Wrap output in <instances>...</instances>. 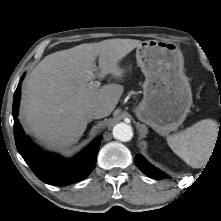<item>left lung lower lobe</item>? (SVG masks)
<instances>
[{"label": "left lung lower lobe", "mask_w": 221, "mask_h": 221, "mask_svg": "<svg viewBox=\"0 0 221 221\" xmlns=\"http://www.w3.org/2000/svg\"><path fill=\"white\" fill-rule=\"evenodd\" d=\"M217 141H218L217 143L221 145L220 135ZM134 161L137 167L150 178L160 180L168 177L166 174H164L163 172H161L160 170L149 164L140 154H137L135 156Z\"/></svg>", "instance_id": "0a47b994"}]
</instances>
